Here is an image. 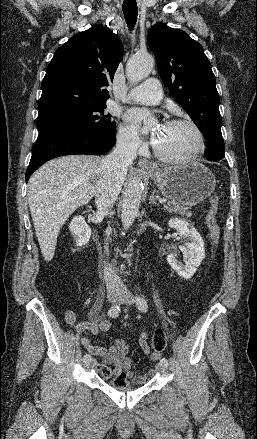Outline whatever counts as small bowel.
I'll list each match as a JSON object with an SVG mask.
<instances>
[{"label":"small bowel","mask_w":257,"mask_h":439,"mask_svg":"<svg viewBox=\"0 0 257 439\" xmlns=\"http://www.w3.org/2000/svg\"><path fill=\"white\" fill-rule=\"evenodd\" d=\"M66 322L71 324L75 321V314L73 312H67L65 315ZM111 328V322L108 319H103L98 321L97 319L91 317L90 320L84 325L83 330L88 331L91 336L97 337L103 332H107ZM81 344L86 349L88 353L93 356L100 358L101 363H97L94 360V367H96L100 372L106 369H110L109 366L112 365L113 368L110 369L113 375L125 374L128 381L136 385H144L156 373V369L152 368L148 372L141 375H137L133 369V361L129 356L134 343H126L121 339H115L114 342L108 346H98L95 345L89 338L82 337ZM135 343L139 348L146 354L149 355L152 361H158L160 358L159 353H151L149 346V334L147 332H140L135 340Z\"/></svg>","instance_id":"1"}]
</instances>
